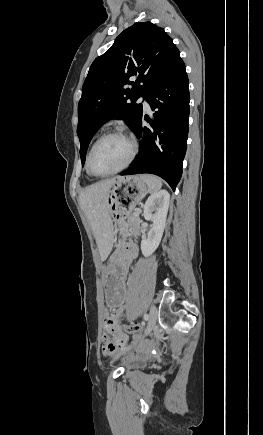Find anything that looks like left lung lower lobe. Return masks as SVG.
<instances>
[{"mask_svg": "<svg viewBox=\"0 0 263 435\" xmlns=\"http://www.w3.org/2000/svg\"><path fill=\"white\" fill-rule=\"evenodd\" d=\"M188 77L182 59L148 94L154 111L143 126L142 116L133 132L141 139V149L130 168L121 175L151 173L168 182L173 190L182 176L189 124Z\"/></svg>", "mask_w": 263, "mask_h": 435, "instance_id": "obj_1", "label": "left lung lower lobe"}]
</instances>
